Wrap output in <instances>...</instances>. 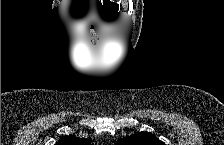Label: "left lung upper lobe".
Wrapping results in <instances>:
<instances>
[{"label":"left lung upper lobe","mask_w":224,"mask_h":145,"mask_svg":"<svg viewBox=\"0 0 224 145\" xmlns=\"http://www.w3.org/2000/svg\"><path fill=\"white\" fill-rule=\"evenodd\" d=\"M117 145H165V144L149 132H139L119 140Z\"/></svg>","instance_id":"obj_1"}]
</instances>
